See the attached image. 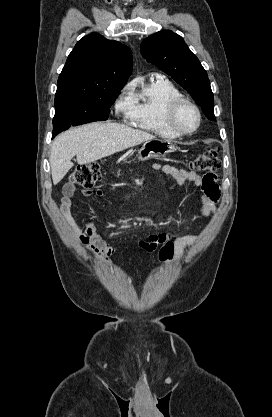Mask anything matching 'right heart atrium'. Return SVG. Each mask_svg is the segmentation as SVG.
Instances as JSON below:
<instances>
[{"instance_id": "obj_1", "label": "right heart atrium", "mask_w": 272, "mask_h": 417, "mask_svg": "<svg viewBox=\"0 0 272 417\" xmlns=\"http://www.w3.org/2000/svg\"><path fill=\"white\" fill-rule=\"evenodd\" d=\"M129 87L127 86L116 98L114 102V110L117 115L129 117L132 110V100L127 96Z\"/></svg>"}]
</instances>
